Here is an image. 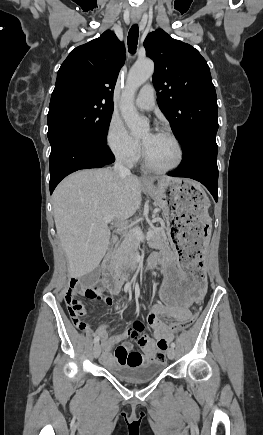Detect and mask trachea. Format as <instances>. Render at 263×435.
<instances>
[{
	"label": "trachea",
	"mask_w": 263,
	"mask_h": 435,
	"mask_svg": "<svg viewBox=\"0 0 263 435\" xmlns=\"http://www.w3.org/2000/svg\"><path fill=\"white\" fill-rule=\"evenodd\" d=\"M138 37H139V28L137 24H134L129 30L128 37H127L129 52L131 54L136 53Z\"/></svg>",
	"instance_id": "3493384b"
}]
</instances>
